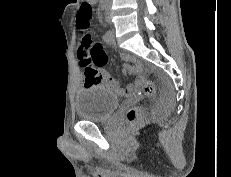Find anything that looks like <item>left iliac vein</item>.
Segmentation results:
<instances>
[{"mask_svg":"<svg viewBox=\"0 0 231 177\" xmlns=\"http://www.w3.org/2000/svg\"><path fill=\"white\" fill-rule=\"evenodd\" d=\"M105 20L107 23H111V13H110V7L108 6L107 7V10H106V16H105Z\"/></svg>","mask_w":231,"mask_h":177,"instance_id":"left-iliac-vein-1","label":"left iliac vein"}]
</instances>
